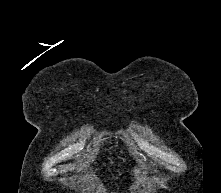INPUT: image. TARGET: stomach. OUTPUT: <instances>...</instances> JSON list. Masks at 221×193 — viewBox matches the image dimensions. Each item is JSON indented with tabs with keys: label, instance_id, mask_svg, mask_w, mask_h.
<instances>
[{
	"label": "stomach",
	"instance_id": "obj_1",
	"mask_svg": "<svg viewBox=\"0 0 221 193\" xmlns=\"http://www.w3.org/2000/svg\"><path fill=\"white\" fill-rule=\"evenodd\" d=\"M134 173H135V176L137 177V175L140 173V168L139 167H135L134 168Z\"/></svg>",
	"mask_w": 221,
	"mask_h": 193
}]
</instances>
